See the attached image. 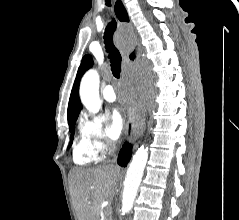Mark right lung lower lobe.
Segmentation results:
<instances>
[{
  "label": "right lung lower lobe",
  "instance_id": "right-lung-lower-lobe-1",
  "mask_svg": "<svg viewBox=\"0 0 239 220\" xmlns=\"http://www.w3.org/2000/svg\"><path fill=\"white\" fill-rule=\"evenodd\" d=\"M131 157V146L125 143L118 156V164L122 167L127 166V162Z\"/></svg>",
  "mask_w": 239,
  "mask_h": 220
}]
</instances>
